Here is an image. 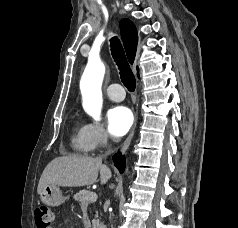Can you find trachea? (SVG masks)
<instances>
[{
	"mask_svg": "<svg viewBox=\"0 0 238 228\" xmlns=\"http://www.w3.org/2000/svg\"><path fill=\"white\" fill-rule=\"evenodd\" d=\"M111 52L120 71V77L124 86L131 92L135 90V76L129 66L124 49L117 37L111 38Z\"/></svg>",
	"mask_w": 238,
	"mask_h": 228,
	"instance_id": "trachea-1",
	"label": "trachea"
}]
</instances>
